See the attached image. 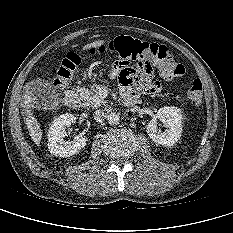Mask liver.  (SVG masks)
<instances>
[{
    "label": "liver",
    "instance_id": "6515ba94",
    "mask_svg": "<svg viewBox=\"0 0 233 233\" xmlns=\"http://www.w3.org/2000/svg\"><path fill=\"white\" fill-rule=\"evenodd\" d=\"M106 41L99 40L95 41L93 43L87 44L83 47V50H88L91 48H98L102 44H104ZM36 101V97H34V94L32 91L27 90L24 95V104L26 108L27 118H26V127L29 131V135L31 139L34 141L36 145H39L42 138V131L40 129V125L37 122L36 118L32 115V107L33 104Z\"/></svg>",
    "mask_w": 233,
    "mask_h": 233
}]
</instances>
